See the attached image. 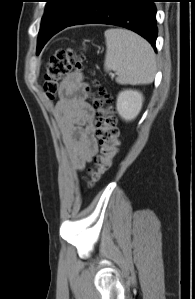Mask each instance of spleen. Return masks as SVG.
<instances>
[{
	"mask_svg": "<svg viewBox=\"0 0 195 299\" xmlns=\"http://www.w3.org/2000/svg\"><path fill=\"white\" fill-rule=\"evenodd\" d=\"M106 71L117 73L116 82L122 85L149 84L154 80L157 65L151 45L136 33L114 28L105 31Z\"/></svg>",
	"mask_w": 195,
	"mask_h": 299,
	"instance_id": "1",
	"label": "spleen"
}]
</instances>
